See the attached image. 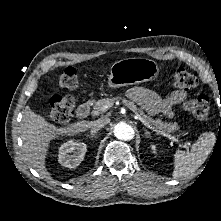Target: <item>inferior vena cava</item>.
Wrapping results in <instances>:
<instances>
[{"label": "inferior vena cava", "instance_id": "inferior-vena-cava-1", "mask_svg": "<svg viewBox=\"0 0 221 221\" xmlns=\"http://www.w3.org/2000/svg\"><path fill=\"white\" fill-rule=\"evenodd\" d=\"M104 126H105V122L101 120L94 121L93 125L91 126V133L95 134L96 132H98V130H100Z\"/></svg>", "mask_w": 221, "mask_h": 221}]
</instances>
